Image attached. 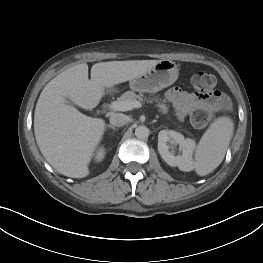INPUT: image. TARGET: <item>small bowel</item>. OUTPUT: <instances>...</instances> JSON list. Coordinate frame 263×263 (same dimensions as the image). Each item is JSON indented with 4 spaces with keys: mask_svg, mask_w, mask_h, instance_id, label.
Here are the masks:
<instances>
[{
    "mask_svg": "<svg viewBox=\"0 0 263 263\" xmlns=\"http://www.w3.org/2000/svg\"><path fill=\"white\" fill-rule=\"evenodd\" d=\"M166 99L174 107L180 119L185 118L193 109L199 107L217 108L224 105V97L216 92L211 97H201L179 87H172L166 92Z\"/></svg>",
    "mask_w": 263,
    "mask_h": 263,
    "instance_id": "1",
    "label": "small bowel"
}]
</instances>
